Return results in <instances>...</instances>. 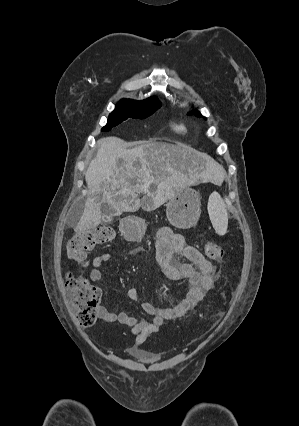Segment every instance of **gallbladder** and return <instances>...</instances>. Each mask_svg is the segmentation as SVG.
I'll return each instance as SVG.
<instances>
[{
    "label": "gallbladder",
    "instance_id": "gallbladder-1",
    "mask_svg": "<svg viewBox=\"0 0 299 426\" xmlns=\"http://www.w3.org/2000/svg\"><path fill=\"white\" fill-rule=\"evenodd\" d=\"M101 213L103 215V223L109 224L112 222V215L115 213V210L108 204H102Z\"/></svg>",
    "mask_w": 299,
    "mask_h": 426
}]
</instances>
